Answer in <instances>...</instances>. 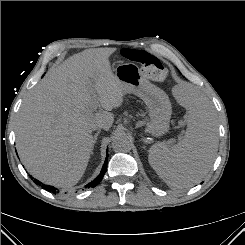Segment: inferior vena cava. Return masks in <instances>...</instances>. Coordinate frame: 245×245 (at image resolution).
Masks as SVG:
<instances>
[{"label":"inferior vena cava","instance_id":"obj_1","mask_svg":"<svg viewBox=\"0 0 245 245\" xmlns=\"http://www.w3.org/2000/svg\"><path fill=\"white\" fill-rule=\"evenodd\" d=\"M95 129H106V127L103 124H96L94 125V130Z\"/></svg>","mask_w":245,"mask_h":245}]
</instances>
